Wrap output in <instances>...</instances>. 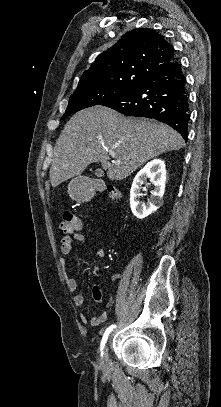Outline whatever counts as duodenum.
Here are the masks:
<instances>
[{
  "label": "duodenum",
  "mask_w": 221,
  "mask_h": 407,
  "mask_svg": "<svg viewBox=\"0 0 221 407\" xmlns=\"http://www.w3.org/2000/svg\"><path fill=\"white\" fill-rule=\"evenodd\" d=\"M96 192H97V187L96 186H92V187L87 188L85 190L87 199H91L96 194Z\"/></svg>",
  "instance_id": "1"
}]
</instances>
